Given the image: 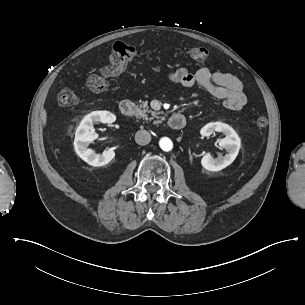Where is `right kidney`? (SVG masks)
<instances>
[{
  "mask_svg": "<svg viewBox=\"0 0 305 305\" xmlns=\"http://www.w3.org/2000/svg\"><path fill=\"white\" fill-rule=\"evenodd\" d=\"M97 121L110 125L115 121V116L105 111L87 115L78 127L74 141L77 156L93 167L104 166L115 158V152L111 149H105L103 153H97L95 150L88 148V145L98 137L97 134L93 133V123Z\"/></svg>",
  "mask_w": 305,
  "mask_h": 305,
  "instance_id": "obj_1",
  "label": "right kidney"
}]
</instances>
